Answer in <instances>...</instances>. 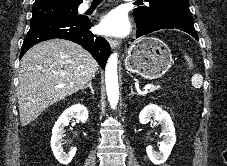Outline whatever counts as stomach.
<instances>
[{
  "mask_svg": "<svg viewBox=\"0 0 227 166\" xmlns=\"http://www.w3.org/2000/svg\"><path fill=\"white\" fill-rule=\"evenodd\" d=\"M169 47L155 37H144L136 41L128 50L125 68L149 80L162 77L172 65Z\"/></svg>",
  "mask_w": 227,
  "mask_h": 166,
  "instance_id": "0dacf381",
  "label": "stomach"
}]
</instances>
